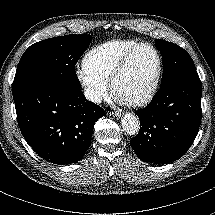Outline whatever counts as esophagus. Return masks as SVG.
<instances>
[{
  "label": "esophagus",
  "mask_w": 215,
  "mask_h": 215,
  "mask_svg": "<svg viewBox=\"0 0 215 215\" xmlns=\"http://www.w3.org/2000/svg\"><path fill=\"white\" fill-rule=\"evenodd\" d=\"M113 115H115L116 117H121L123 115V112L116 111V112L113 113Z\"/></svg>",
  "instance_id": "34e87169"
}]
</instances>
